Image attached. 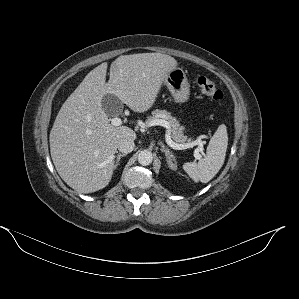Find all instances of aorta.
Segmentation results:
<instances>
[{"instance_id":"762f6f07","label":"aorta","mask_w":299,"mask_h":299,"mask_svg":"<svg viewBox=\"0 0 299 299\" xmlns=\"http://www.w3.org/2000/svg\"><path fill=\"white\" fill-rule=\"evenodd\" d=\"M153 155L148 150H143L138 155V162L143 166H148L152 163Z\"/></svg>"}]
</instances>
